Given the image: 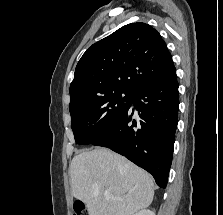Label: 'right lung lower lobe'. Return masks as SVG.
<instances>
[{"mask_svg": "<svg viewBox=\"0 0 223 215\" xmlns=\"http://www.w3.org/2000/svg\"><path fill=\"white\" fill-rule=\"evenodd\" d=\"M138 116L133 117L134 108ZM176 72L138 89L121 119L92 145L110 148L148 171L166 188L178 123ZM141 112V113H140Z\"/></svg>", "mask_w": 223, "mask_h": 215, "instance_id": "right-lung-lower-lobe-1", "label": "right lung lower lobe"}]
</instances>
